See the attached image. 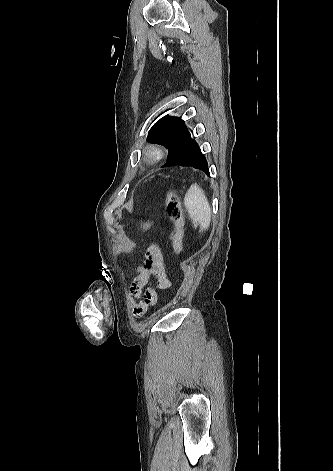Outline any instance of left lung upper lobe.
Masks as SVG:
<instances>
[{
  "label": "left lung upper lobe",
  "instance_id": "left-lung-upper-lobe-1",
  "mask_svg": "<svg viewBox=\"0 0 333 471\" xmlns=\"http://www.w3.org/2000/svg\"><path fill=\"white\" fill-rule=\"evenodd\" d=\"M192 140L184 121L179 117L170 116L156 122L147 137L148 142L163 145L168 149L167 162ZM167 162L163 167L167 166Z\"/></svg>",
  "mask_w": 333,
  "mask_h": 471
}]
</instances>
